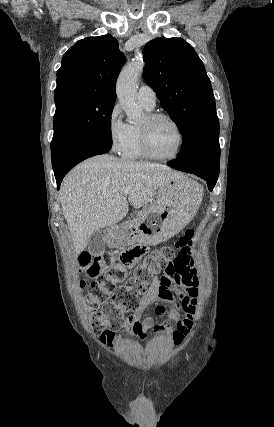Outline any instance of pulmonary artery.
Here are the masks:
<instances>
[{
	"label": "pulmonary artery",
	"instance_id": "1",
	"mask_svg": "<svg viewBox=\"0 0 274 427\" xmlns=\"http://www.w3.org/2000/svg\"><path fill=\"white\" fill-rule=\"evenodd\" d=\"M137 98L139 103L146 109V110H154L156 107V95L153 89L145 84H142L137 93Z\"/></svg>",
	"mask_w": 274,
	"mask_h": 427
}]
</instances>
